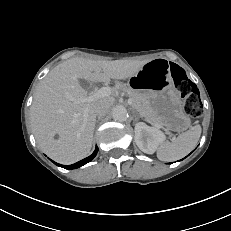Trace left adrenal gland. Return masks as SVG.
<instances>
[{"instance_id": "1", "label": "left adrenal gland", "mask_w": 231, "mask_h": 231, "mask_svg": "<svg viewBox=\"0 0 231 231\" xmlns=\"http://www.w3.org/2000/svg\"><path fill=\"white\" fill-rule=\"evenodd\" d=\"M139 118H142L140 115H138V113L135 112V118L134 120L137 121Z\"/></svg>"}]
</instances>
